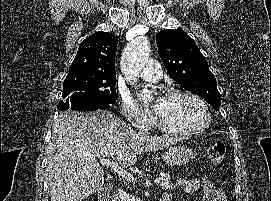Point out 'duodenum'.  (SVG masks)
Instances as JSON below:
<instances>
[{"label":"duodenum","instance_id":"obj_1","mask_svg":"<svg viewBox=\"0 0 271 201\" xmlns=\"http://www.w3.org/2000/svg\"><path fill=\"white\" fill-rule=\"evenodd\" d=\"M111 193V185L105 184L101 187V189L98 192V201H109ZM160 201H171V195L170 194H164Z\"/></svg>","mask_w":271,"mask_h":201}]
</instances>
